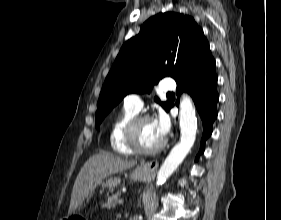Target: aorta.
<instances>
[{"mask_svg": "<svg viewBox=\"0 0 281 220\" xmlns=\"http://www.w3.org/2000/svg\"><path fill=\"white\" fill-rule=\"evenodd\" d=\"M180 143L175 145L157 175V184H163L168 177L177 169L192 148L197 131V119L195 108L190 96L184 94L180 101Z\"/></svg>", "mask_w": 281, "mask_h": 220, "instance_id": "aorta-1", "label": "aorta"}]
</instances>
